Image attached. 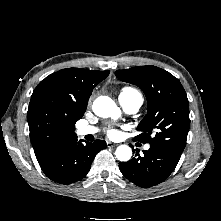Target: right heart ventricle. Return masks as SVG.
Returning a JSON list of instances; mask_svg holds the SVG:
<instances>
[{
	"instance_id": "obj_1",
	"label": "right heart ventricle",
	"mask_w": 221,
	"mask_h": 221,
	"mask_svg": "<svg viewBox=\"0 0 221 221\" xmlns=\"http://www.w3.org/2000/svg\"><path fill=\"white\" fill-rule=\"evenodd\" d=\"M120 95L140 96L141 97L140 93L136 89H134L132 87H125V88H123Z\"/></svg>"
}]
</instances>
